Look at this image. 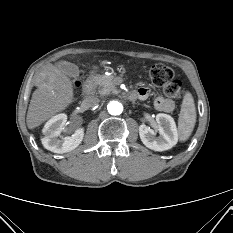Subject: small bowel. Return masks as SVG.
I'll return each mask as SVG.
<instances>
[{
  "instance_id": "small-bowel-1",
  "label": "small bowel",
  "mask_w": 233,
  "mask_h": 233,
  "mask_svg": "<svg viewBox=\"0 0 233 233\" xmlns=\"http://www.w3.org/2000/svg\"><path fill=\"white\" fill-rule=\"evenodd\" d=\"M136 93L138 95V98L146 99L150 93V90L148 87L142 86L138 89V91ZM154 105H155L156 109H158L162 112H167V113L172 112L175 108L174 101H172L168 98H165L161 95H158L155 97Z\"/></svg>"
}]
</instances>
